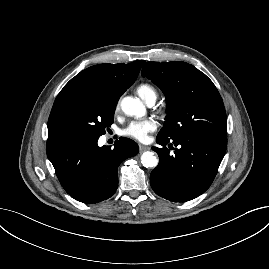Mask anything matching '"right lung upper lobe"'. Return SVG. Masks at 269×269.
<instances>
[{
	"label": "right lung upper lobe",
	"instance_id": "1",
	"mask_svg": "<svg viewBox=\"0 0 269 269\" xmlns=\"http://www.w3.org/2000/svg\"><path fill=\"white\" fill-rule=\"evenodd\" d=\"M144 60L130 64H99L91 66L72 78L58 94V99L64 93L71 90L100 91L107 96L119 99V97L135 82ZM66 139L56 129L52 110L48 120L47 144H53Z\"/></svg>",
	"mask_w": 269,
	"mask_h": 269
}]
</instances>
